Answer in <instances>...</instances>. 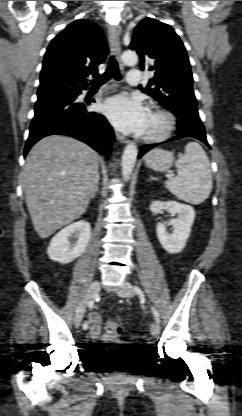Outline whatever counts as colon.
<instances>
[{"mask_svg": "<svg viewBox=\"0 0 242 416\" xmlns=\"http://www.w3.org/2000/svg\"><path fill=\"white\" fill-rule=\"evenodd\" d=\"M125 326L124 319L117 317L109 319L105 324V329L109 335L118 336L123 333Z\"/></svg>", "mask_w": 242, "mask_h": 416, "instance_id": "1", "label": "colon"}]
</instances>
